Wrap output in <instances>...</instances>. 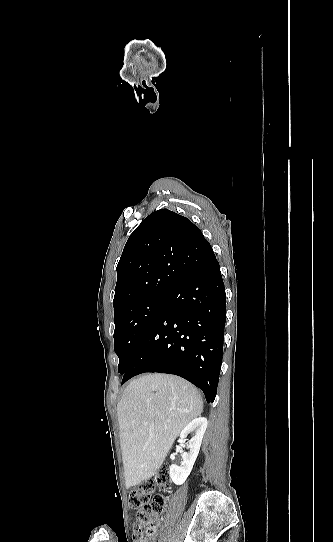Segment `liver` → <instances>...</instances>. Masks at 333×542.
<instances>
[{
	"instance_id": "obj_1",
	"label": "liver",
	"mask_w": 333,
	"mask_h": 542,
	"mask_svg": "<svg viewBox=\"0 0 333 542\" xmlns=\"http://www.w3.org/2000/svg\"><path fill=\"white\" fill-rule=\"evenodd\" d=\"M203 412L189 382L171 374H143L117 404L126 490L150 480L181 430Z\"/></svg>"
}]
</instances>
